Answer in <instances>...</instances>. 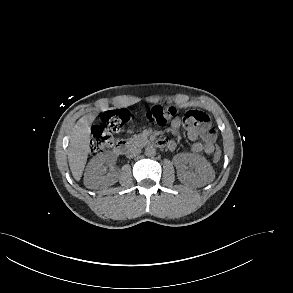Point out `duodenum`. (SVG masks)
I'll use <instances>...</instances> for the list:
<instances>
[{"label": "duodenum", "instance_id": "1", "mask_svg": "<svg viewBox=\"0 0 293 293\" xmlns=\"http://www.w3.org/2000/svg\"><path fill=\"white\" fill-rule=\"evenodd\" d=\"M154 145L161 148L166 146V142L163 140H158L154 143ZM114 151L118 154H131L133 147L126 139H119L114 145Z\"/></svg>", "mask_w": 293, "mask_h": 293}]
</instances>
